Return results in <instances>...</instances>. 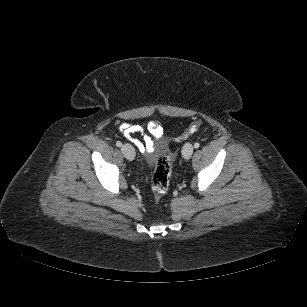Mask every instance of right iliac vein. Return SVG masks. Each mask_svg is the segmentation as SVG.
<instances>
[{"mask_svg": "<svg viewBox=\"0 0 307 307\" xmlns=\"http://www.w3.org/2000/svg\"><path fill=\"white\" fill-rule=\"evenodd\" d=\"M121 151L126 159L133 160L135 158V150L130 144L122 145Z\"/></svg>", "mask_w": 307, "mask_h": 307, "instance_id": "1", "label": "right iliac vein"}]
</instances>
